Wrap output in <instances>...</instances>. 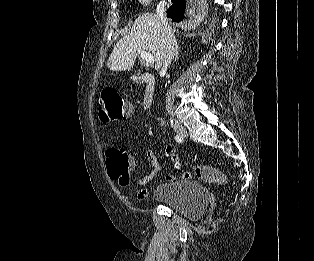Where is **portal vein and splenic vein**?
<instances>
[{
  "mask_svg": "<svg viewBox=\"0 0 314 261\" xmlns=\"http://www.w3.org/2000/svg\"><path fill=\"white\" fill-rule=\"evenodd\" d=\"M141 58L144 62L147 64H153L154 63V56L151 53H148L145 50H141L140 52Z\"/></svg>",
  "mask_w": 314,
  "mask_h": 261,
  "instance_id": "18ae733b",
  "label": "portal vein and splenic vein"
}]
</instances>
